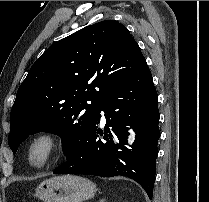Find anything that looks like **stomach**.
<instances>
[{"label":"stomach","mask_w":209,"mask_h":202,"mask_svg":"<svg viewBox=\"0 0 209 202\" xmlns=\"http://www.w3.org/2000/svg\"><path fill=\"white\" fill-rule=\"evenodd\" d=\"M96 186L90 180L62 175L46 179L35 189V196L43 202H83L94 197Z\"/></svg>","instance_id":"0dacf381"}]
</instances>
